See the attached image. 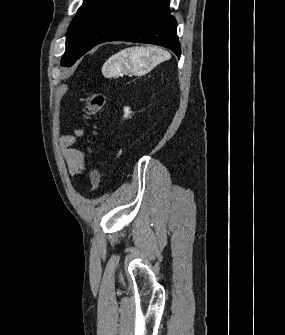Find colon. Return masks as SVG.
I'll return each mask as SVG.
<instances>
[{
	"label": "colon",
	"mask_w": 285,
	"mask_h": 335,
	"mask_svg": "<svg viewBox=\"0 0 285 335\" xmlns=\"http://www.w3.org/2000/svg\"><path fill=\"white\" fill-rule=\"evenodd\" d=\"M82 101L84 102V117L87 120H92L103 109L105 96L102 93H92L83 97ZM90 180L92 191H98L101 187V177L99 168L96 165H94L90 171Z\"/></svg>",
	"instance_id": "obj_1"
}]
</instances>
